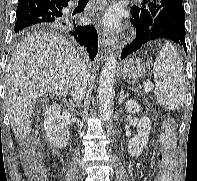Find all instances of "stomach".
<instances>
[{"mask_svg":"<svg viewBox=\"0 0 197 181\" xmlns=\"http://www.w3.org/2000/svg\"><path fill=\"white\" fill-rule=\"evenodd\" d=\"M150 70L149 64L142 59L132 57L125 60L120 70V75L124 79L137 81L144 78Z\"/></svg>","mask_w":197,"mask_h":181,"instance_id":"0dacf381","label":"stomach"}]
</instances>
